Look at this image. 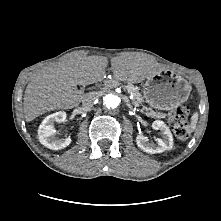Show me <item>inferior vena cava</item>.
<instances>
[{
    "label": "inferior vena cava",
    "instance_id": "obj_1",
    "mask_svg": "<svg viewBox=\"0 0 221 221\" xmlns=\"http://www.w3.org/2000/svg\"><path fill=\"white\" fill-rule=\"evenodd\" d=\"M95 95L93 94H88L86 95V97L82 100V106H83V109L85 111H89L91 110V108L93 107L94 105V101H95Z\"/></svg>",
    "mask_w": 221,
    "mask_h": 221
}]
</instances>
